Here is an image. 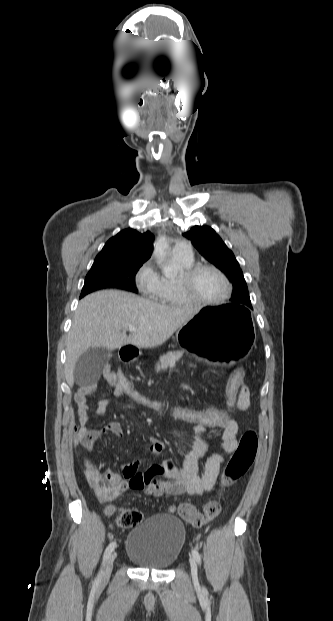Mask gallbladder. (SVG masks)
I'll return each mask as SVG.
<instances>
[{"label":"gallbladder","instance_id":"obj_1","mask_svg":"<svg viewBox=\"0 0 333 621\" xmlns=\"http://www.w3.org/2000/svg\"><path fill=\"white\" fill-rule=\"evenodd\" d=\"M111 356V351L103 347L90 348L83 353L74 367L76 384L84 386L96 383Z\"/></svg>","mask_w":333,"mask_h":621}]
</instances>
